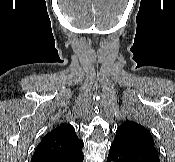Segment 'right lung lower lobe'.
<instances>
[{
	"instance_id": "right-lung-lower-lobe-1",
	"label": "right lung lower lobe",
	"mask_w": 175,
	"mask_h": 162,
	"mask_svg": "<svg viewBox=\"0 0 175 162\" xmlns=\"http://www.w3.org/2000/svg\"><path fill=\"white\" fill-rule=\"evenodd\" d=\"M83 153L74 154V155H54L38 160V162H83Z\"/></svg>"
}]
</instances>
